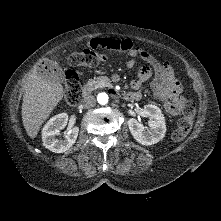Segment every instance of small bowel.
<instances>
[{"instance_id":"1","label":"small bowel","mask_w":221,"mask_h":221,"mask_svg":"<svg viewBox=\"0 0 221 221\" xmlns=\"http://www.w3.org/2000/svg\"><path fill=\"white\" fill-rule=\"evenodd\" d=\"M88 45L94 50L125 53L131 58L126 62L127 68L134 67L135 59L140 58L146 65L139 70L137 77L131 81V87L134 90L133 93L137 95V100L142 97L140 89L143 83L152 78L151 88L154 96L163 103L165 111L170 115H178L182 112L185 101L182 96V85L168 62H160L129 39L93 38Z\"/></svg>"}]
</instances>
